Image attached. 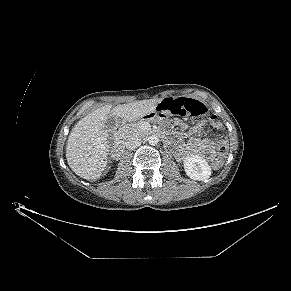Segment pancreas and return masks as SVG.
Segmentation results:
<instances>
[{
    "instance_id": "pancreas-1",
    "label": "pancreas",
    "mask_w": 291,
    "mask_h": 291,
    "mask_svg": "<svg viewBox=\"0 0 291 291\" xmlns=\"http://www.w3.org/2000/svg\"><path fill=\"white\" fill-rule=\"evenodd\" d=\"M143 133V130L141 129V123H130L127 125H124L120 128L119 134L121 138L124 140L128 139L131 136L140 135Z\"/></svg>"
}]
</instances>
